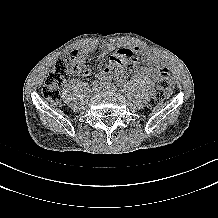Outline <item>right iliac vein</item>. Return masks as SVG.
Instances as JSON below:
<instances>
[{
	"mask_svg": "<svg viewBox=\"0 0 218 218\" xmlns=\"http://www.w3.org/2000/svg\"><path fill=\"white\" fill-rule=\"evenodd\" d=\"M101 88H102V85H101L100 83H98V84H93L92 90H93V92L96 93V92L100 91Z\"/></svg>",
	"mask_w": 218,
	"mask_h": 218,
	"instance_id": "1",
	"label": "right iliac vein"
}]
</instances>
